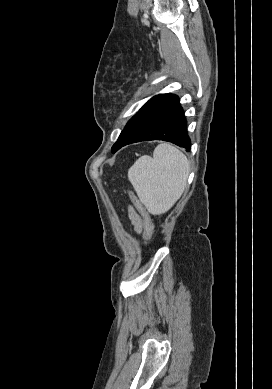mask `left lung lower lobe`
<instances>
[{"instance_id":"left-lung-lower-lobe-1","label":"left lung lower lobe","mask_w":272,"mask_h":389,"mask_svg":"<svg viewBox=\"0 0 272 389\" xmlns=\"http://www.w3.org/2000/svg\"><path fill=\"white\" fill-rule=\"evenodd\" d=\"M187 122L179 98L173 94H160L151 98L136 120L120 139L121 147L140 141L163 140L190 150Z\"/></svg>"}]
</instances>
